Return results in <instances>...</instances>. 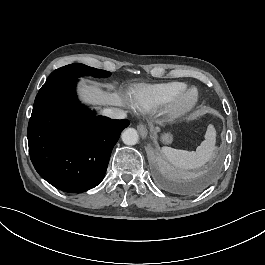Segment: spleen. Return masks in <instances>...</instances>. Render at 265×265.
Masks as SVG:
<instances>
[{"instance_id":"obj_1","label":"spleen","mask_w":265,"mask_h":265,"mask_svg":"<svg viewBox=\"0 0 265 265\" xmlns=\"http://www.w3.org/2000/svg\"><path fill=\"white\" fill-rule=\"evenodd\" d=\"M214 135V129L209 126L205 136L207 140L203 141L201 146L197 147L196 152L176 149L169 146L163 147V152L166 158L174 165L185 169H193L201 166L204 162L212 158Z\"/></svg>"}]
</instances>
